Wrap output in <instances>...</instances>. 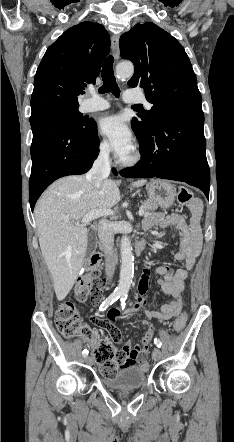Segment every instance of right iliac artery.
<instances>
[{"instance_id": "obj_1", "label": "right iliac artery", "mask_w": 234, "mask_h": 442, "mask_svg": "<svg viewBox=\"0 0 234 442\" xmlns=\"http://www.w3.org/2000/svg\"><path fill=\"white\" fill-rule=\"evenodd\" d=\"M120 296L121 294L119 292L112 293L106 300L103 301V303L100 305L99 310L105 311L111 304L118 300ZM82 354L84 357H86L88 355V350L85 349Z\"/></svg>"}]
</instances>
